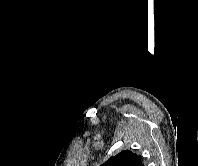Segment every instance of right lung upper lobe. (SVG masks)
Returning a JSON list of instances; mask_svg holds the SVG:
<instances>
[{
	"instance_id": "obj_1",
	"label": "right lung upper lobe",
	"mask_w": 198,
	"mask_h": 166,
	"mask_svg": "<svg viewBox=\"0 0 198 166\" xmlns=\"http://www.w3.org/2000/svg\"><path fill=\"white\" fill-rule=\"evenodd\" d=\"M102 166H143L139 157L129 150H124L109 159Z\"/></svg>"
}]
</instances>
